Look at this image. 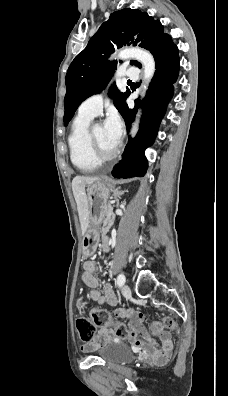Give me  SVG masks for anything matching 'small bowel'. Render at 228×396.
I'll return each mask as SVG.
<instances>
[{
  "label": "small bowel",
  "mask_w": 228,
  "mask_h": 396,
  "mask_svg": "<svg viewBox=\"0 0 228 396\" xmlns=\"http://www.w3.org/2000/svg\"><path fill=\"white\" fill-rule=\"evenodd\" d=\"M108 245V239L105 238L102 242L103 250L106 251L108 249ZM83 269L82 280L90 288L88 294L89 298L99 305L109 303L116 306L117 299L110 284L107 283L105 285L104 294L98 289L99 280L96 276V261L93 258L87 259L83 264ZM115 315L119 318L128 320L130 340L136 345L147 347L150 351L151 359L155 364L164 365L170 360L173 350V342L168 332L162 331L159 334L160 343H157L148 335L142 326L143 314L141 312L131 309L117 308L115 310ZM120 338L121 337L115 334L113 329L101 327L94 335L93 339L82 345L81 349L83 351H91L107 342L117 341Z\"/></svg>",
  "instance_id": "small-bowel-1"
}]
</instances>
